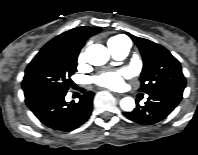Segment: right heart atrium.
<instances>
[{"mask_svg": "<svg viewBox=\"0 0 198 155\" xmlns=\"http://www.w3.org/2000/svg\"><path fill=\"white\" fill-rule=\"evenodd\" d=\"M85 59V51L83 50L78 56V62L81 63Z\"/></svg>", "mask_w": 198, "mask_h": 155, "instance_id": "d8ad5b80", "label": "right heart atrium"}]
</instances>
